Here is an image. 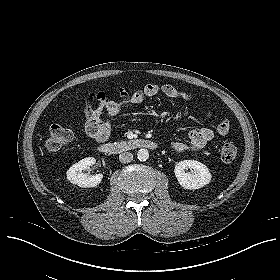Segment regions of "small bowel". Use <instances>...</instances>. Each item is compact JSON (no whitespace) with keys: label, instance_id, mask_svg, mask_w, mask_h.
<instances>
[{"label":"small bowel","instance_id":"obj_1","mask_svg":"<svg viewBox=\"0 0 280 280\" xmlns=\"http://www.w3.org/2000/svg\"><path fill=\"white\" fill-rule=\"evenodd\" d=\"M163 93L168 98L189 100L191 95L183 92L172 85H159L155 82L147 83L142 89L127 94L125 90L120 89L119 94L121 101L107 99L103 92L90 94L83 108L85 117V129L89 131L90 126H95L100 132L98 139L104 140L109 136L110 122L103 119L102 114L105 112L109 117H115L119 114L123 105L133 104L140 105L144 102L145 97H154ZM95 103L97 105L95 106ZM217 133L226 136L230 131V124L220 122L217 126ZM214 138V130L209 127H201L191 130L187 141H175L172 143V149L175 152H184L187 150L198 149L203 147Z\"/></svg>","mask_w":280,"mask_h":280}]
</instances>
